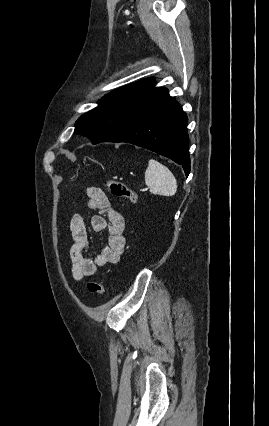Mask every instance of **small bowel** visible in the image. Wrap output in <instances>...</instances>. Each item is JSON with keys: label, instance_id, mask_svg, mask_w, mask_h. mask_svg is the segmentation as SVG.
Returning a JSON list of instances; mask_svg holds the SVG:
<instances>
[{"label": "small bowel", "instance_id": "obj_1", "mask_svg": "<svg viewBox=\"0 0 269 426\" xmlns=\"http://www.w3.org/2000/svg\"><path fill=\"white\" fill-rule=\"evenodd\" d=\"M87 208L94 212L90 225L96 235L107 232V242L100 253L94 258L85 254L89 248L87 227L78 214H73L69 220L73 244L70 248L72 276L77 282L93 276L99 267L119 263L126 245L124 219L116 211L106 195L99 187H89L86 190Z\"/></svg>", "mask_w": 269, "mask_h": 426}]
</instances>
